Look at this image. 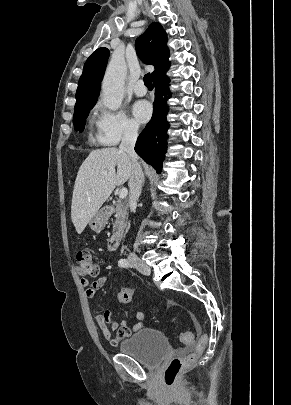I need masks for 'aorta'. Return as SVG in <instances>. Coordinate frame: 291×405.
I'll use <instances>...</instances> for the list:
<instances>
[{"instance_id":"aorta-1","label":"aorta","mask_w":291,"mask_h":405,"mask_svg":"<svg viewBox=\"0 0 291 405\" xmlns=\"http://www.w3.org/2000/svg\"><path fill=\"white\" fill-rule=\"evenodd\" d=\"M127 66L121 55L114 54L102 81V101L110 110L120 108L124 98V81Z\"/></svg>"}]
</instances>
